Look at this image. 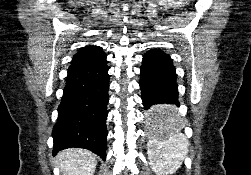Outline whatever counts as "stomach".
Wrapping results in <instances>:
<instances>
[{"label": "stomach", "instance_id": "stomach-1", "mask_svg": "<svg viewBox=\"0 0 251 175\" xmlns=\"http://www.w3.org/2000/svg\"><path fill=\"white\" fill-rule=\"evenodd\" d=\"M149 111H176V106H149ZM146 119L145 128H177L180 123V118H172V114H146ZM159 119H164V123H159ZM149 134H181V129H149ZM157 140H163V137H157Z\"/></svg>", "mask_w": 251, "mask_h": 175}]
</instances>
